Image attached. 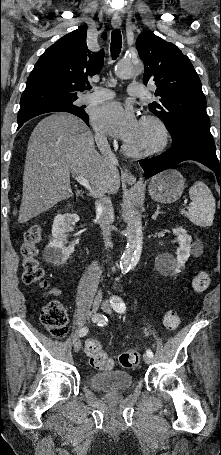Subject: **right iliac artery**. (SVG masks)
Wrapping results in <instances>:
<instances>
[{
  "mask_svg": "<svg viewBox=\"0 0 221 455\" xmlns=\"http://www.w3.org/2000/svg\"><path fill=\"white\" fill-rule=\"evenodd\" d=\"M92 321H93L94 323H97L99 326H103L104 324H106L105 321H107V320H106V317H105L104 315H102V314H95V315H93V317H92ZM87 333H88V328H87V327H84V328H82V329L80 330L79 336H80V337H83V336H85Z\"/></svg>",
  "mask_w": 221,
  "mask_h": 455,
  "instance_id": "1",
  "label": "right iliac artery"
}]
</instances>
